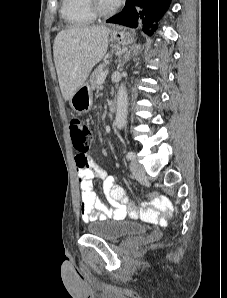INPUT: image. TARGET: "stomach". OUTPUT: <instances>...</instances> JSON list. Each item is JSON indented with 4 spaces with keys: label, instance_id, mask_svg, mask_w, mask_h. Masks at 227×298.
<instances>
[{
    "label": "stomach",
    "instance_id": "obj_1",
    "mask_svg": "<svg viewBox=\"0 0 227 298\" xmlns=\"http://www.w3.org/2000/svg\"><path fill=\"white\" fill-rule=\"evenodd\" d=\"M111 36L119 45L129 46L134 42V36L124 29H114ZM92 88L84 83L70 98L71 108L78 114L88 113L92 108Z\"/></svg>",
    "mask_w": 227,
    "mask_h": 298
}]
</instances>
